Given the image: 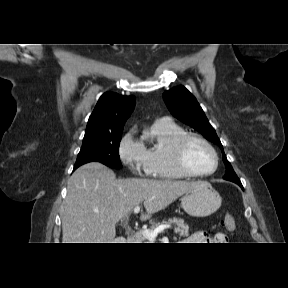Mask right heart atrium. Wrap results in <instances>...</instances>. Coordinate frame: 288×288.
I'll return each instance as SVG.
<instances>
[{
  "instance_id": "obj_1",
  "label": "right heart atrium",
  "mask_w": 288,
  "mask_h": 288,
  "mask_svg": "<svg viewBox=\"0 0 288 288\" xmlns=\"http://www.w3.org/2000/svg\"><path fill=\"white\" fill-rule=\"evenodd\" d=\"M118 154L121 162L133 173L143 171L148 174L145 168L146 149L141 141L134 137L129 131L120 140Z\"/></svg>"
}]
</instances>
